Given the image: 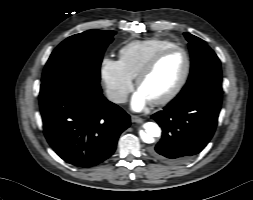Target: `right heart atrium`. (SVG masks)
Here are the masks:
<instances>
[{"label":"right heart atrium","mask_w":253,"mask_h":200,"mask_svg":"<svg viewBox=\"0 0 253 200\" xmlns=\"http://www.w3.org/2000/svg\"><path fill=\"white\" fill-rule=\"evenodd\" d=\"M100 77L108 98L122 104L133 87L132 78L124 71L119 60L105 57L100 64Z\"/></svg>","instance_id":"1"}]
</instances>
